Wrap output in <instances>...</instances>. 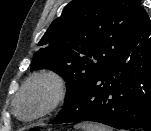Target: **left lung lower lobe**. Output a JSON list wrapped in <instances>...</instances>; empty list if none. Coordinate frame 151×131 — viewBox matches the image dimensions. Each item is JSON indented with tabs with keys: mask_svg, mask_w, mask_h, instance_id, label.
<instances>
[{
	"mask_svg": "<svg viewBox=\"0 0 151 131\" xmlns=\"http://www.w3.org/2000/svg\"><path fill=\"white\" fill-rule=\"evenodd\" d=\"M79 121L151 130V21L143 7L125 56L89 79L50 124Z\"/></svg>",
	"mask_w": 151,
	"mask_h": 131,
	"instance_id": "1",
	"label": "left lung lower lobe"
}]
</instances>
